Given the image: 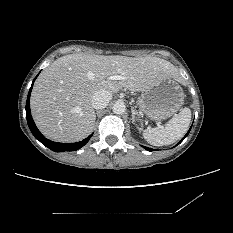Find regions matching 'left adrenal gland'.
<instances>
[{"mask_svg":"<svg viewBox=\"0 0 233 233\" xmlns=\"http://www.w3.org/2000/svg\"><path fill=\"white\" fill-rule=\"evenodd\" d=\"M131 112H132V123L135 124L136 119H138V120L140 121L139 115H138V113L134 110V108H131Z\"/></svg>","mask_w":233,"mask_h":233,"instance_id":"1","label":"left adrenal gland"}]
</instances>
